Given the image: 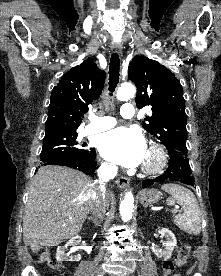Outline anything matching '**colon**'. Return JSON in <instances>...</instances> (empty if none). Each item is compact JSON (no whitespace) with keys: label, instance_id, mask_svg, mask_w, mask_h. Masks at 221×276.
I'll return each instance as SVG.
<instances>
[{"label":"colon","instance_id":"5ec220e1","mask_svg":"<svg viewBox=\"0 0 221 276\" xmlns=\"http://www.w3.org/2000/svg\"><path fill=\"white\" fill-rule=\"evenodd\" d=\"M192 251V247L188 243H182L177 248V258L175 261L167 260L163 263V276H170L176 266H182L186 263ZM42 262L47 263L51 269H58L60 267V262L53 259L48 252H44L40 256Z\"/></svg>","mask_w":221,"mask_h":276}]
</instances>
